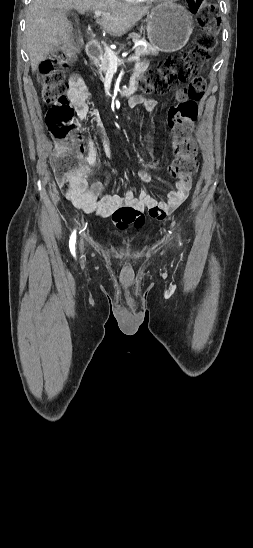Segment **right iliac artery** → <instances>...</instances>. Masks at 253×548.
I'll list each match as a JSON object with an SVG mask.
<instances>
[{
    "instance_id": "82829eb1",
    "label": "right iliac artery",
    "mask_w": 253,
    "mask_h": 548,
    "mask_svg": "<svg viewBox=\"0 0 253 548\" xmlns=\"http://www.w3.org/2000/svg\"><path fill=\"white\" fill-rule=\"evenodd\" d=\"M75 240H76V230L73 231L69 241L70 251L73 255L75 254Z\"/></svg>"
}]
</instances>
